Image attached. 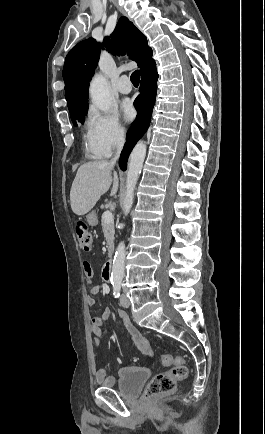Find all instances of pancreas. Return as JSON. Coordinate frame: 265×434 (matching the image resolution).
Masks as SVG:
<instances>
[{
    "mask_svg": "<svg viewBox=\"0 0 265 434\" xmlns=\"http://www.w3.org/2000/svg\"><path fill=\"white\" fill-rule=\"evenodd\" d=\"M101 226H102V232L108 244V250L110 252V250H112L114 246V234H115L114 224H106V222L102 220Z\"/></svg>",
    "mask_w": 265,
    "mask_h": 434,
    "instance_id": "cf45deb5",
    "label": "pancreas"
}]
</instances>
